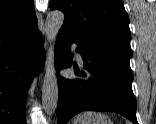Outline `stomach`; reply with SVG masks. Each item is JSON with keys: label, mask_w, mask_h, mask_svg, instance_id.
<instances>
[{"label": "stomach", "mask_w": 156, "mask_h": 124, "mask_svg": "<svg viewBox=\"0 0 156 124\" xmlns=\"http://www.w3.org/2000/svg\"><path fill=\"white\" fill-rule=\"evenodd\" d=\"M71 124H113L105 115L97 114L92 117H78Z\"/></svg>", "instance_id": "stomach-1"}]
</instances>
